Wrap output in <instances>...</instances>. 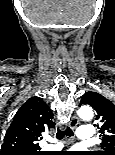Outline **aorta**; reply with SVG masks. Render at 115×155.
I'll list each match as a JSON object with an SVG mask.
<instances>
[{"label":"aorta","instance_id":"1","mask_svg":"<svg viewBox=\"0 0 115 155\" xmlns=\"http://www.w3.org/2000/svg\"><path fill=\"white\" fill-rule=\"evenodd\" d=\"M78 116L82 120L90 121L93 118V116H94L93 109L90 106H82L78 110Z\"/></svg>","mask_w":115,"mask_h":155}]
</instances>
